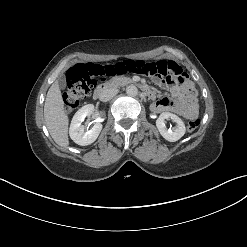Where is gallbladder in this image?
Listing matches in <instances>:
<instances>
[{"label":"gallbladder","instance_id":"gallbladder-1","mask_svg":"<svg viewBox=\"0 0 247 247\" xmlns=\"http://www.w3.org/2000/svg\"><path fill=\"white\" fill-rule=\"evenodd\" d=\"M58 84L60 86V88H65L66 86V79L65 77L61 76L58 78Z\"/></svg>","mask_w":247,"mask_h":247}]
</instances>
